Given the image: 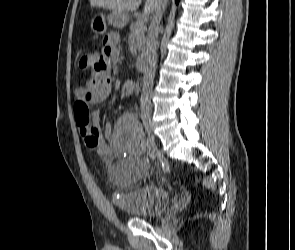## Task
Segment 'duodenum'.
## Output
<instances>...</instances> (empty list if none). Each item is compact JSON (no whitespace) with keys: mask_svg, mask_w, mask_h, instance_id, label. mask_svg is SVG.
I'll use <instances>...</instances> for the list:
<instances>
[{"mask_svg":"<svg viewBox=\"0 0 295 250\" xmlns=\"http://www.w3.org/2000/svg\"><path fill=\"white\" fill-rule=\"evenodd\" d=\"M136 65L139 74L144 75L147 71V61L144 55H139Z\"/></svg>","mask_w":295,"mask_h":250,"instance_id":"1","label":"duodenum"}]
</instances>
